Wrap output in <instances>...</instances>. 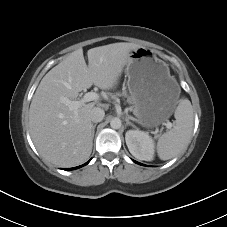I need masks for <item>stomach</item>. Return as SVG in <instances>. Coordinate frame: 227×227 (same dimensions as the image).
Masks as SVG:
<instances>
[{"label": "stomach", "instance_id": "stomach-1", "mask_svg": "<svg viewBox=\"0 0 227 227\" xmlns=\"http://www.w3.org/2000/svg\"><path fill=\"white\" fill-rule=\"evenodd\" d=\"M127 85L140 125L154 128L172 115L180 87L168 64L153 49L140 46L131 50L126 64Z\"/></svg>", "mask_w": 227, "mask_h": 227}]
</instances>
